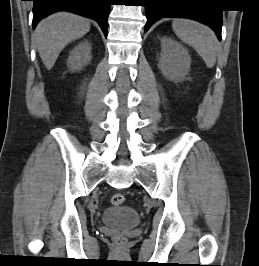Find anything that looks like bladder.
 Wrapping results in <instances>:
<instances>
[{"instance_id":"bladder-1","label":"bladder","mask_w":259,"mask_h":266,"mask_svg":"<svg viewBox=\"0 0 259 266\" xmlns=\"http://www.w3.org/2000/svg\"><path fill=\"white\" fill-rule=\"evenodd\" d=\"M103 223L114 227H134L139 221L136 210L128 206H115L108 208L102 217Z\"/></svg>"}]
</instances>
